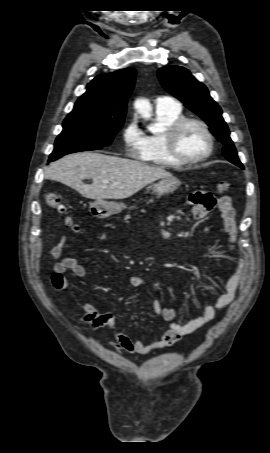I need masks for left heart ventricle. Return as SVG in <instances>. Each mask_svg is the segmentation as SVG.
Returning <instances> with one entry per match:
<instances>
[{"instance_id": "left-heart-ventricle-1", "label": "left heart ventricle", "mask_w": 270, "mask_h": 453, "mask_svg": "<svg viewBox=\"0 0 270 453\" xmlns=\"http://www.w3.org/2000/svg\"><path fill=\"white\" fill-rule=\"evenodd\" d=\"M208 140L202 129L194 124L183 128L178 138L179 152L188 158H197L207 151Z\"/></svg>"}]
</instances>
